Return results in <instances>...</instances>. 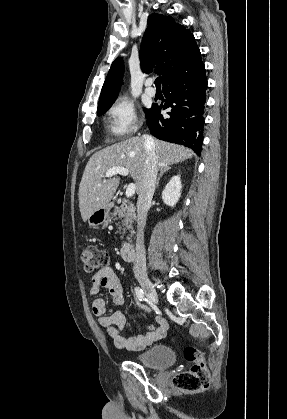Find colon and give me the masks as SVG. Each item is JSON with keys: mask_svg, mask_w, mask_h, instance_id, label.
Here are the masks:
<instances>
[{"mask_svg": "<svg viewBox=\"0 0 287 419\" xmlns=\"http://www.w3.org/2000/svg\"><path fill=\"white\" fill-rule=\"evenodd\" d=\"M84 270L87 273L99 271L108 264V254L95 246H87L82 251ZM184 357L192 366L188 371L181 372L173 377V386L189 391H198L207 387L209 372L202 353L192 346L184 349Z\"/></svg>", "mask_w": 287, "mask_h": 419, "instance_id": "obj_1", "label": "colon"}]
</instances>
